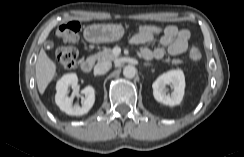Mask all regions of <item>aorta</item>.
Returning <instances> with one entry per match:
<instances>
[{
  "label": "aorta",
  "mask_w": 244,
  "mask_h": 157,
  "mask_svg": "<svg viewBox=\"0 0 244 157\" xmlns=\"http://www.w3.org/2000/svg\"><path fill=\"white\" fill-rule=\"evenodd\" d=\"M136 68L132 65H127L124 67L123 69V75L126 77V78H133L135 77L136 75Z\"/></svg>",
  "instance_id": "1"
}]
</instances>
